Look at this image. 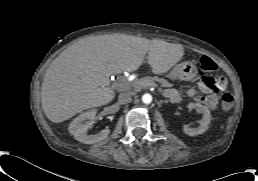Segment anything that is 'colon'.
I'll return each mask as SVG.
<instances>
[{"label": "colon", "mask_w": 258, "mask_h": 181, "mask_svg": "<svg viewBox=\"0 0 258 181\" xmlns=\"http://www.w3.org/2000/svg\"><path fill=\"white\" fill-rule=\"evenodd\" d=\"M203 66L206 70H213L215 69V65L210 59L203 60ZM233 98L231 94L225 93L222 97V106L224 109L228 110L232 107Z\"/></svg>", "instance_id": "5ec220e1"}]
</instances>
